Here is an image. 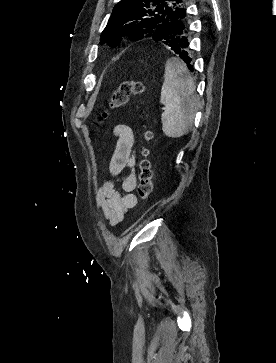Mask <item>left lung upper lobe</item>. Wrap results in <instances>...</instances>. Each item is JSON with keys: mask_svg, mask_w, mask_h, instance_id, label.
Here are the masks:
<instances>
[{"mask_svg": "<svg viewBox=\"0 0 276 363\" xmlns=\"http://www.w3.org/2000/svg\"><path fill=\"white\" fill-rule=\"evenodd\" d=\"M187 21L183 0H121L102 32L101 43L117 46L121 36L132 40L152 37L168 46L178 36L177 25ZM182 36L188 37V33Z\"/></svg>", "mask_w": 276, "mask_h": 363, "instance_id": "obj_1", "label": "left lung upper lobe"}]
</instances>
